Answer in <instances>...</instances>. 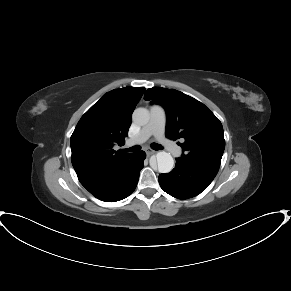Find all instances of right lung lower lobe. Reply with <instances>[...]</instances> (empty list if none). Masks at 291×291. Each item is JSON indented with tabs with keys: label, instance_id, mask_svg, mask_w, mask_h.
<instances>
[{
	"label": "right lung lower lobe",
	"instance_id": "right-lung-lower-lobe-1",
	"mask_svg": "<svg viewBox=\"0 0 291 291\" xmlns=\"http://www.w3.org/2000/svg\"><path fill=\"white\" fill-rule=\"evenodd\" d=\"M145 157V152L140 151L112 167L78 176V179L96 198L105 202L119 201L135 190Z\"/></svg>",
	"mask_w": 291,
	"mask_h": 291
}]
</instances>
